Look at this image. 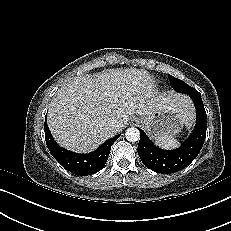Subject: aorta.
<instances>
[{"label":"aorta","instance_id":"aorta-1","mask_svg":"<svg viewBox=\"0 0 231 231\" xmlns=\"http://www.w3.org/2000/svg\"><path fill=\"white\" fill-rule=\"evenodd\" d=\"M125 137L129 142H136L140 139V132L137 128H128L125 132Z\"/></svg>","mask_w":231,"mask_h":231}]
</instances>
